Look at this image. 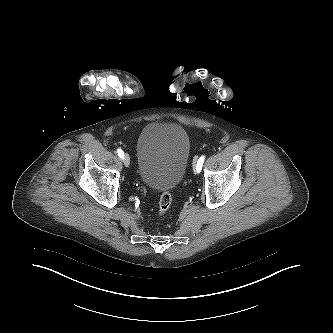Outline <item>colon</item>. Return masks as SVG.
Segmentation results:
<instances>
[{
  "label": "colon",
  "mask_w": 333,
  "mask_h": 333,
  "mask_svg": "<svg viewBox=\"0 0 333 333\" xmlns=\"http://www.w3.org/2000/svg\"><path fill=\"white\" fill-rule=\"evenodd\" d=\"M172 203L171 194L168 191H163L160 194L159 202H158V215L160 217L164 216L168 209L170 208Z\"/></svg>",
  "instance_id": "obj_1"
}]
</instances>
